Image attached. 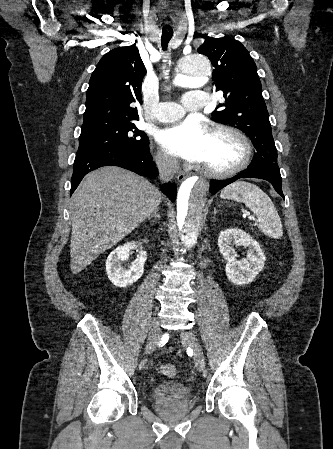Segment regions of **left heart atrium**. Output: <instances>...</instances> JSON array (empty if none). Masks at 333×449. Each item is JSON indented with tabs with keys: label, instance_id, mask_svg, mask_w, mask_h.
I'll return each instance as SVG.
<instances>
[{
	"label": "left heart atrium",
	"instance_id": "1",
	"mask_svg": "<svg viewBox=\"0 0 333 449\" xmlns=\"http://www.w3.org/2000/svg\"><path fill=\"white\" fill-rule=\"evenodd\" d=\"M209 132L195 119H188L162 130L158 142L170 154L190 162H201Z\"/></svg>",
	"mask_w": 333,
	"mask_h": 449
}]
</instances>
